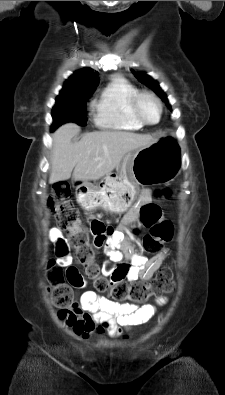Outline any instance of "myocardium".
<instances>
[{"instance_id":"f54148a6","label":"myocardium","mask_w":225,"mask_h":395,"mask_svg":"<svg viewBox=\"0 0 225 395\" xmlns=\"http://www.w3.org/2000/svg\"><path fill=\"white\" fill-rule=\"evenodd\" d=\"M151 99L152 101H154V103L156 104L157 108H158V119L155 122H149L147 121L142 113H141V102L144 99ZM131 111L132 114L134 116V118L143 126H154L157 125L161 119H162V115H163V104L160 100V98L155 95L154 93L150 92V91H139L132 99L131 101Z\"/></svg>"}]
</instances>
